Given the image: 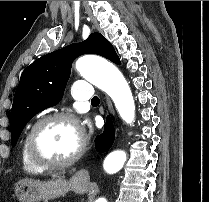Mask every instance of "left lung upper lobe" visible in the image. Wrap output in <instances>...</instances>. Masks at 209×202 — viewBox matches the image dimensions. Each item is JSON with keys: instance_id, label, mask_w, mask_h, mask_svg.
Returning a JSON list of instances; mask_svg holds the SVG:
<instances>
[{"instance_id": "1", "label": "left lung upper lobe", "mask_w": 209, "mask_h": 202, "mask_svg": "<svg viewBox=\"0 0 209 202\" xmlns=\"http://www.w3.org/2000/svg\"><path fill=\"white\" fill-rule=\"evenodd\" d=\"M88 53L101 55L120 64L112 44L96 32L85 41L46 54L25 68L15 91L10 115L12 147L33 116L62 99L72 62Z\"/></svg>"}]
</instances>
